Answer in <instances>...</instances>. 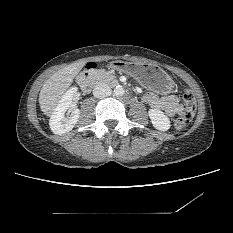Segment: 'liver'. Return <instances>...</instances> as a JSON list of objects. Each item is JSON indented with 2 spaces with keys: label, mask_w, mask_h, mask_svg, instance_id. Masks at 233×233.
Wrapping results in <instances>:
<instances>
[{
  "label": "liver",
  "mask_w": 233,
  "mask_h": 233,
  "mask_svg": "<svg viewBox=\"0 0 233 233\" xmlns=\"http://www.w3.org/2000/svg\"><path fill=\"white\" fill-rule=\"evenodd\" d=\"M84 65V62L72 63L54 73L43 84L39 94V105L44 115L53 114L62 96Z\"/></svg>",
  "instance_id": "1"
}]
</instances>
